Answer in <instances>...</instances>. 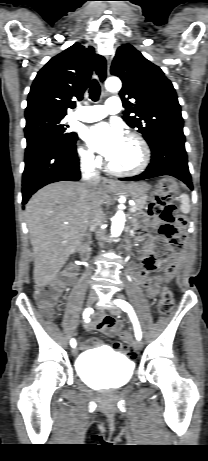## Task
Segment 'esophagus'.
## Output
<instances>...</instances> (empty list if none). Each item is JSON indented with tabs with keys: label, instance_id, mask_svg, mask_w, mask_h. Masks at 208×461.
Returning <instances> with one entry per match:
<instances>
[{
	"label": "esophagus",
	"instance_id": "esophagus-1",
	"mask_svg": "<svg viewBox=\"0 0 208 461\" xmlns=\"http://www.w3.org/2000/svg\"><path fill=\"white\" fill-rule=\"evenodd\" d=\"M99 65H100V70L102 72V79L100 78V81H101V84L104 85L105 80H106V78L108 76V73H109V58L107 56H105V57L100 56L99 57ZM94 67H95V70H96V59H95ZM102 184L106 188H113V187H116L118 185L115 180L108 179V178H103Z\"/></svg>",
	"mask_w": 208,
	"mask_h": 461
}]
</instances>
